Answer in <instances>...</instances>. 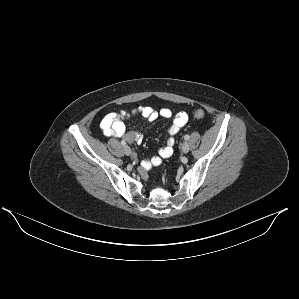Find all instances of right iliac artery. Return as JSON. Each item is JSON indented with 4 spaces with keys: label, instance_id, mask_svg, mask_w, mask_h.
<instances>
[{
    "label": "right iliac artery",
    "instance_id": "right-iliac-artery-1",
    "mask_svg": "<svg viewBox=\"0 0 299 299\" xmlns=\"http://www.w3.org/2000/svg\"><path fill=\"white\" fill-rule=\"evenodd\" d=\"M121 145L126 146V142L124 140H122Z\"/></svg>",
    "mask_w": 299,
    "mask_h": 299
}]
</instances>
